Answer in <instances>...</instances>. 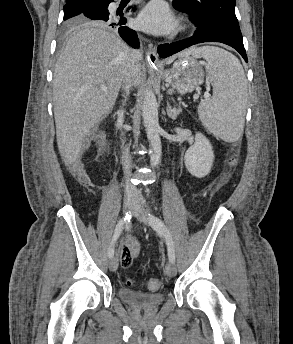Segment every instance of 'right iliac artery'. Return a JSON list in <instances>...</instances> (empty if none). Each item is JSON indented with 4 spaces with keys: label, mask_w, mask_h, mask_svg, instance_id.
Wrapping results in <instances>:
<instances>
[{
    "label": "right iliac artery",
    "mask_w": 293,
    "mask_h": 344,
    "mask_svg": "<svg viewBox=\"0 0 293 344\" xmlns=\"http://www.w3.org/2000/svg\"><path fill=\"white\" fill-rule=\"evenodd\" d=\"M131 218H132V213L127 212L124 215V217L116 225V227L114 229L113 237H112L109 249H108L109 258L114 256V245H115L117 239L119 238L124 226L130 223Z\"/></svg>",
    "instance_id": "82829eb1"
}]
</instances>
